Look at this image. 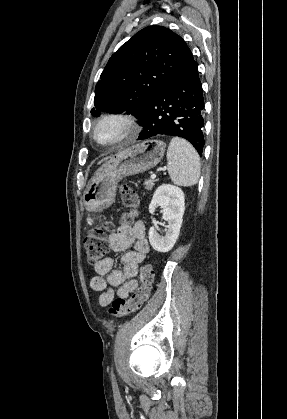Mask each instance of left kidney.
Masks as SVG:
<instances>
[{
  "instance_id": "5707ae66",
  "label": "left kidney",
  "mask_w": 287,
  "mask_h": 419,
  "mask_svg": "<svg viewBox=\"0 0 287 419\" xmlns=\"http://www.w3.org/2000/svg\"><path fill=\"white\" fill-rule=\"evenodd\" d=\"M184 202V193L177 186L162 184L154 192L149 212L153 215L156 207L161 206L162 218L168 223L165 236H160L154 226L149 229V241L154 250L165 253L173 248L183 221Z\"/></svg>"
}]
</instances>
